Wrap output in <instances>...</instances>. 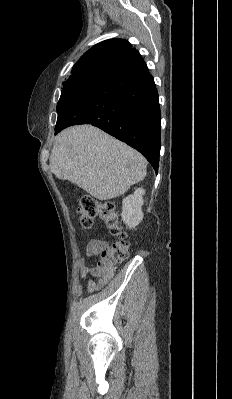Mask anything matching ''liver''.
Masks as SVG:
<instances>
[{
	"instance_id": "liver-1",
	"label": "liver",
	"mask_w": 232,
	"mask_h": 399,
	"mask_svg": "<svg viewBox=\"0 0 232 399\" xmlns=\"http://www.w3.org/2000/svg\"><path fill=\"white\" fill-rule=\"evenodd\" d=\"M49 168L97 200L122 196L146 176L147 160L123 142L94 126H73L60 132L51 150Z\"/></svg>"
}]
</instances>
